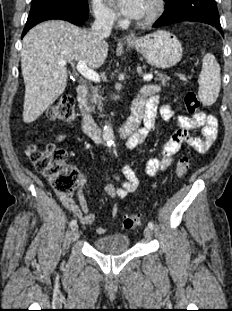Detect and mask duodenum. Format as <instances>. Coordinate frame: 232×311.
I'll list each match as a JSON object with an SVG mask.
<instances>
[{
  "label": "duodenum",
  "mask_w": 232,
  "mask_h": 311,
  "mask_svg": "<svg viewBox=\"0 0 232 311\" xmlns=\"http://www.w3.org/2000/svg\"><path fill=\"white\" fill-rule=\"evenodd\" d=\"M88 88L85 84H80L76 89V96L79 101L80 110L82 113L81 127L83 132L96 142L104 141V134L106 130L96 124L93 117L89 113L86 105L83 103L84 98L87 94ZM144 117V103L137 97L132 105V113L128 119L118 126L114 130V135L117 139L123 140L131 137L136 131L139 124Z\"/></svg>",
  "instance_id": "obj_1"
}]
</instances>
